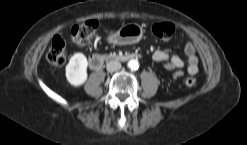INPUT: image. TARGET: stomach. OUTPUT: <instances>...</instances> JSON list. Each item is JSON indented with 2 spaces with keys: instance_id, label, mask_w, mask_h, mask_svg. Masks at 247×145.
<instances>
[{
  "instance_id": "obj_1",
  "label": "stomach",
  "mask_w": 247,
  "mask_h": 145,
  "mask_svg": "<svg viewBox=\"0 0 247 145\" xmlns=\"http://www.w3.org/2000/svg\"><path fill=\"white\" fill-rule=\"evenodd\" d=\"M143 37V29L138 24H127L108 37V41L117 45L137 43Z\"/></svg>"
}]
</instances>
